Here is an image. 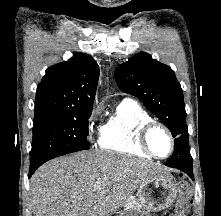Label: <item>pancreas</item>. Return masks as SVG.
Masks as SVG:
<instances>
[{"label": "pancreas", "instance_id": "obj_1", "mask_svg": "<svg viewBox=\"0 0 221 216\" xmlns=\"http://www.w3.org/2000/svg\"><path fill=\"white\" fill-rule=\"evenodd\" d=\"M137 205L138 202L133 197L128 198L124 204L125 207H134Z\"/></svg>", "mask_w": 221, "mask_h": 216}]
</instances>
